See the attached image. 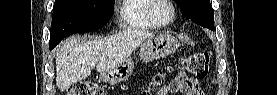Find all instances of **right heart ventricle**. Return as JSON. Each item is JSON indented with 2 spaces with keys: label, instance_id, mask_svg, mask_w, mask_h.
Instances as JSON below:
<instances>
[{
  "label": "right heart ventricle",
  "instance_id": "obj_1",
  "mask_svg": "<svg viewBox=\"0 0 277 95\" xmlns=\"http://www.w3.org/2000/svg\"><path fill=\"white\" fill-rule=\"evenodd\" d=\"M153 0H123L119 24L123 29H154L156 25L148 18L147 10Z\"/></svg>",
  "mask_w": 277,
  "mask_h": 95
}]
</instances>
